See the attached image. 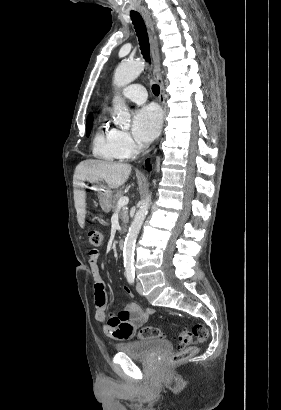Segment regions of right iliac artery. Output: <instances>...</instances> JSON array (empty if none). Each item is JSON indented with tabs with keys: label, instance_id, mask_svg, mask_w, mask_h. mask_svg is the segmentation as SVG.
Returning <instances> with one entry per match:
<instances>
[{
	"label": "right iliac artery",
	"instance_id": "obj_1",
	"mask_svg": "<svg viewBox=\"0 0 281 410\" xmlns=\"http://www.w3.org/2000/svg\"><path fill=\"white\" fill-rule=\"evenodd\" d=\"M126 277H127V280L130 284H134V282H135V275L134 274H127Z\"/></svg>",
	"mask_w": 281,
	"mask_h": 410
}]
</instances>
